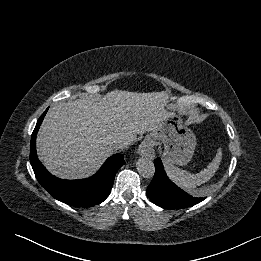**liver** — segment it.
Returning a JSON list of instances; mask_svg holds the SVG:
<instances>
[{
    "label": "liver",
    "mask_w": 261,
    "mask_h": 261,
    "mask_svg": "<svg viewBox=\"0 0 261 261\" xmlns=\"http://www.w3.org/2000/svg\"><path fill=\"white\" fill-rule=\"evenodd\" d=\"M167 92L114 90L104 97L60 102L46 114L37 135L40 160L53 175L90 176L111 156L117 140H137L154 131L168 112Z\"/></svg>",
    "instance_id": "liver-1"
}]
</instances>
